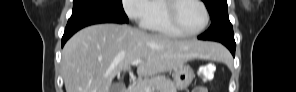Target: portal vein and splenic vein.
Here are the masks:
<instances>
[{
	"label": "portal vein and splenic vein",
	"mask_w": 296,
	"mask_h": 92,
	"mask_svg": "<svg viewBox=\"0 0 296 92\" xmlns=\"http://www.w3.org/2000/svg\"><path fill=\"white\" fill-rule=\"evenodd\" d=\"M140 63H142V60L141 59H136V60L132 61L131 65H139ZM145 91L146 92H150L151 89L150 88H146Z\"/></svg>",
	"instance_id": "1"
}]
</instances>
